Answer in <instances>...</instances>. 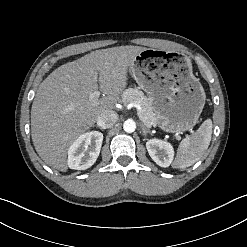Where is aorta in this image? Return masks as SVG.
I'll use <instances>...</instances> for the list:
<instances>
[{
    "instance_id": "obj_1",
    "label": "aorta",
    "mask_w": 247,
    "mask_h": 247,
    "mask_svg": "<svg viewBox=\"0 0 247 247\" xmlns=\"http://www.w3.org/2000/svg\"><path fill=\"white\" fill-rule=\"evenodd\" d=\"M123 129L127 133H132L136 129V124L133 120H126L123 124Z\"/></svg>"
}]
</instances>
